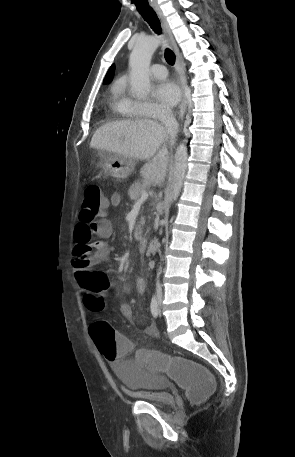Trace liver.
<instances>
[{"mask_svg":"<svg viewBox=\"0 0 295 457\" xmlns=\"http://www.w3.org/2000/svg\"><path fill=\"white\" fill-rule=\"evenodd\" d=\"M169 133L156 121L149 119L107 123L96 130L90 147L132 159L145 160L141 175L147 184L161 186L168 166L165 142Z\"/></svg>","mask_w":295,"mask_h":457,"instance_id":"1","label":"liver"}]
</instances>
